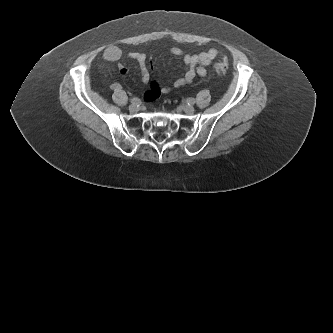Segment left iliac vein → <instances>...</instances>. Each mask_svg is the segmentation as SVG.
Segmentation results:
<instances>
[{
  "label": "left iliac vein",
  "instance_id": "obj_1",
  "mask_svg": "<svg viewBox=\"0 0 333 333\" xmlns=\"http://www.w3.org/2000/svg\"><path fill=\"white\" fill-rule=\"evenodd\" d=\"M183 110L187 114H192L195 112V108L192 105L186 104L182 106Z\"/></svg>",
  "mask_w": 333,
  "mask_h": 333
}]
</instances>
